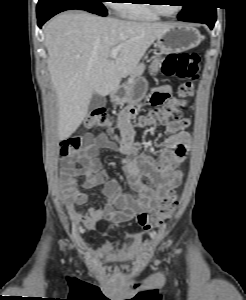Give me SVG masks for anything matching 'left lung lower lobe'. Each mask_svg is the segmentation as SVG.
I'll use <instances>...</instances> for the list:
<instances>
[{"mask_svg": "<svg viewBox=\"0 0 246 300\" xmlns=\"http://www.w3.org/2000/svg\"><path fill=\"white\" fill-rule=\"evenodd\" d=\"M178 19L186 22L204 23L207 24L210 29H213L216 21V8L211 5H207L189 15L178 16Z\"/></svg>", "mask_w": 246, "mask_h": 300, "instance_id": "obj_1", "label": "left lung lower lobe"}]
</instances>
